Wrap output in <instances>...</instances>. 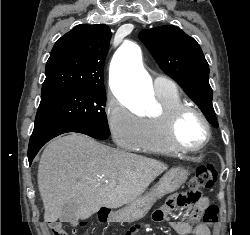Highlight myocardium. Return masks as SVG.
Segmentation results:
<instances>
[{"mask_svg": "<svg viewBox=\"0 0 250 235\" xmlns=\"http://www.w3.org/2000/svg\"><path fill=\"white\" fill-rule=\"evenodd\" d=\"M196 114L204 124L205 127V137L203 141L196 147H189L183 145L178 139V125L181 118L188 114ZM166 134L171 145L178 151L185 153H196L204 149L211 139V124L204 112L196 106L188 104H180L173 108L166 114Z\"/></svg>", "mask_w": 250, "mask_h": 235, "instance_id": "f54148a6", "label": "myocardium"}]
</instances>
